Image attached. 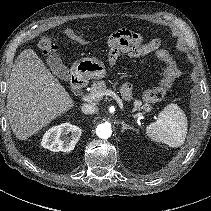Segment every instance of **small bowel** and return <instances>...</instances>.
<instances>
[{"label": "small bowel", "instance_id": "1", "mask_svg": "<svg viewBox=\"0 0 211 211\" xmlns=\"http://www.w3.org/2000/svg\"><path fill=\"white\" fill-rule=\"evenodd\" d=\"M128 31V30H127ZM114 41L111 40L108 44V46H110L111 44H113ZM122 94H123V97L126 99V100H130L131 98V88L129 85H123L122 86Z\"/></svg>", "mask_w": 211, "mask_h": 211}]
</instances>
